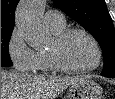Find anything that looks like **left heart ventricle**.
Listing matches in <instances>:
<instances>
[{
    "mask_svg": "<svg viewBox=\"0 0 115 99\" xmlns=\"http://www.w3.org/2000/svg\"><path fill=\"white\" fill-rule=\"evenodd\" d=\"M53 41L49 47L52 46ZM60 60L72 67L82 68L91 66L95 61V50L92 43L84 35L75 33L70 35L59 47Z\"/></svg>",
    "mask_w": 115,
    "mask_h": 99,
    "instance_id": "left-heart-ventricle-1",
    "label": "left heart ventricle"
}]
</instances>
